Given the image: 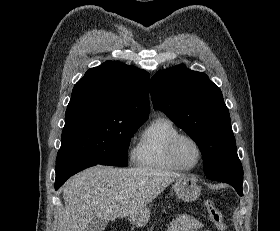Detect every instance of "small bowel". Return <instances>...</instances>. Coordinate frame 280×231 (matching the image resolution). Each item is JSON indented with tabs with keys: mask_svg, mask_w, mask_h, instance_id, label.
I'll return each instance as SVG.
<instances>
[{
	"mask_svg": "<svg viewBox=\"0 0 280 231\" xmlns=\"http://www.w3.org/2000/svg\"><path fill=\"white\" fill-rule=\"evenodd\" d=\"M203 224L187 215L176 217L168 227V231H202Z\"/></svg>",
	"mask_w": 280,
	"mask_h": 231,
	"instance_id": "c3829d8e",
	"label": "small bowel"
}]
</instances>
